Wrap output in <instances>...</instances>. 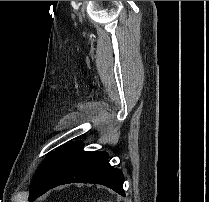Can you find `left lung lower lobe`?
Returning a JSON list of instances; mask_svg holds the SVG:
<instances>
[{"instance_id": "left-lung-lower-lobe-1", "label": "left lung lower lobe", "mask_w": 209, "mask_h": 202, "mask_svg": "<svg viewBox=\"0 0 209 202\" xmlns=\"http://www.w3.org/2000/svg\"><path fill=\"white\" fill-rule=\"evenodd\" d=\"M124 176L113 168L105 152H84L83 143L74 142L62 146L41 184L29 197L34 201L38 196L56 186L67 183H95L109 187L125 196Z\"/></svg>"}]
</instances>
